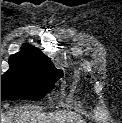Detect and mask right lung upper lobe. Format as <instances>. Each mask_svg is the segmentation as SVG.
<instances>
[{
    "instance_id": "obj_1",
    "label": "right lung upper lobe",
    "mask_w": 122,
    "mask_h": 123,
    "mask_svg": "<svg viewBox=\"0 0 122 123\" xmlns=\"http://www.w3.org/2000/svg\"><path fill=\"white\" fill-rule=\"evenodd\" d=\"M9 62L39 68H55L50 58L29 44H24L18 53L11 55Z\"/></svg>"
}]
</instances>
